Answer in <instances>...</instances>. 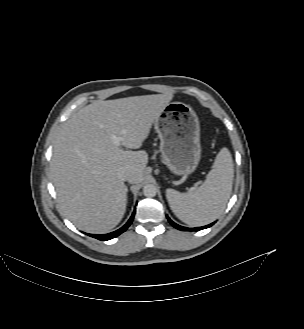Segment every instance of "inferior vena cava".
Wrapping results in <instances>:
<instances>
[{
    "label": "inferior vena cava",
    "mask_w": 304,
    "mask_h": 329,
    "mask_svg": "<svg viewBox=\"0 0 304 329\" xmlns=\"http://www.w3.org/2000/svg\"><path fill=\"white\" fill-rule=\"evenodd\" d=\"M120 177L123 181H130L131 179V174L130 172L128 171H123L121 174H120Z\"/></svg>",
    "instance_id": "obj_1"
}]
</instances>
